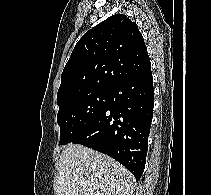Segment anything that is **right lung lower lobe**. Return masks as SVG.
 Listing matches in <instances>:
<instances>
[{"label": "right lung lower lobe", "mask_w": 211, "mask_h": 195, "mask_svg": "<svg viewBox=\"0 0 211 195\" xmlns=\"http://www.w3.org/2000/svg\"><path fill=\"white\" fill-rule=\"evenodd\" d=\"M153 105L150 68L114 84L107 107L73 143L114 158L138 181L146 163Z\"/></svg>", "instance_id": "1"}]
</instances>
